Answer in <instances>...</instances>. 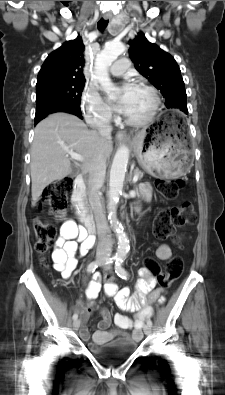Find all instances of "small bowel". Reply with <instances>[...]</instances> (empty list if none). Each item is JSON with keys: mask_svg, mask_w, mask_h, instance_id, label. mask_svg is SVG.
<instances>
[{"mask_svg": "<svg viewBox=\"0 0 225 395\" xmlns=\"http://www.w3.org/2000/svg\"><path fill=\"white\" fill-rule=\"evenodd\" d=\"M142 196L149 200L151 198V190L148 185L144 184L140 187ZM95 243L94 236L90 235L84 228L79 227L74 221L66 220L60 228V236L56 241V248L53 251L52 259L54 268L59 271L64 278H70L74 272L78 256L86 255ZM170 247L163 243L157 251L156 256L160 260H167L171 257ZM140 279L137 283V292L130 295L128 288H121L120 283L104 284V291L114 296L119 308L127 311H135L134 320L123 314L115 316V324L117 328H110L111 317L106 311H102V319L98 324V329L93 334V342L97 345L104 344L116 337L124 336L133 340L142 338L141 328L146 317L151 315V308L147 305V298L150 301H163L162 289H154L156 285L155 275L150 272H141L139 270ZM101 290L100 276L98 273L93 275V280L88 284L86 296L90 301L88 306L78 304L76 310L80 313L83 323H85L95 306V300ZM131 329V333L123 334L122 330ZM80 335L83 340L88 341L90 335L86 326H82Z\"/></svg>", "mask_w": 225, "mask_h": 395, "instance_id": "obj_1", "label": "small bowel"}]
</instances>
